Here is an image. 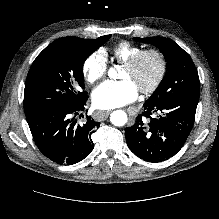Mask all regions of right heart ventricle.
Returning <instances> with one entry per match:
<instances>
[{
	"label": "right heart ventricle",
	"mask_w": 219,
	"mask_h": 219,
	"mask_svg": "<svg viewBox=\"0 0 219 219\" xmlns=\"http://www.w3.org/2000/svg\"><path fill=\"white\" fill-rule=\"evenodd\" d=\"M141 50H143V48L139 45H135L129 41H121L113 47L112 56L114 60L124 64Z\"/></svg>",
	"instance_id": "1"
}]
</instances>
